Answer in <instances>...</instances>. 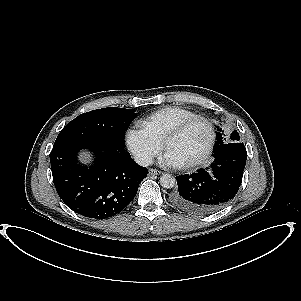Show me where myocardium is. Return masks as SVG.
Returning <instances> with one entry per match:
<instances>
[{
  "label": "myocardium",
  "instance_id": "myocardium-1",
  "mask_svg": "<svg viewBox=\"0 0 301 301\" xmlns=\"http://www.w3.org/2000/svg\"><path fill=\"white\" fill-rule=\"evenodd\" d=\"M198 121L203 122L207 125V127L209 129V141H208L205 151L198 158H196L195 160L190 161L189 163L186 164L185 167H187V168H194V167L200 166L209 159V157L213 151L215 141H216V133H215V128H214L212 121L206 117L196 115V116L186 119V120L182 121L181 123H179L178 125H176L173 129H171L166 134V136L163 139V148L167 149L168 143L173 138L180 135L188 126H190L194 122H198Z\"/></svg>",
  "mask_w": 301,
  "mask_h": 301
}]
</instances>
